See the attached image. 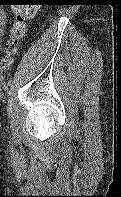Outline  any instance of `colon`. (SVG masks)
Listing matches in <instances>:
<instances>
[{
  "mask_svg": "<svg viewBox=\"0 0 121 197\" xmlns=\"http://www.w3.org/2000/svg\"><path fill=\"white\" fill-rule=\"evenodd\" d=\"M36 0H13L12 11L16 21L10 29L9 39L4 50V57L1 64L8 68L14 55L17 53L19 44L26 33L25 22L32 19L37 11Z\"/></svg>",
  "mask_w": 121,
  "mask_h": 197,
  "instance_id": "5ec220e1",
  "label": "colon"
}]
</instances>
